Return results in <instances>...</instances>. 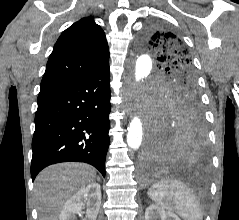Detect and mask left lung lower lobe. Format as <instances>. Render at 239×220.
<instances>
[{
	"label": "left lung lower lobe",
	"instance_id": "1",
	"mask_svg": "<svg viewBox=\"0 0 239 220\" xmlns=\"http://www.w3.org/2000/svg\"><path fill=\"white\" fill-rule=\"evenodd\" d=\"M207 140L202 112L159 109L151 122L141 169L146 174L165 170L176 163L195 164L206 160Z\"/></svg>",
	"mask_w": 239,
	"mask_h": 220
}]
</instances>
